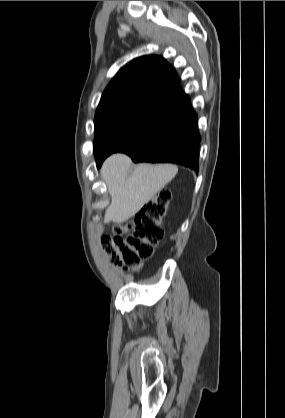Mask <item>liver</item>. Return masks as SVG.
I'll list each match as a JSON object with an SVG mask.
<instances>
[{"label":"liver","mask_w":285,"mask_h":418,"mask_svg":"<svg viewBox=\"0 0 285 418\" xmlns=\"http://www.w3.org/2000/svg\"><path fill=\"white\" fill-rule=\"evenodd\" d=\"M131 165L130 157L117 153L108 157L101 167V176L111 196L104 222L123 223L136 215L178 172L172 164L143 163L132 171Z\"/></svg>","instance_id":"obj_1"}]
</instances>
